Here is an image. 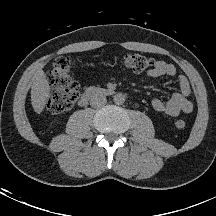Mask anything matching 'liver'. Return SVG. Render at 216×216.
<instances>
[{
    "label": "liver",
    "mask_w": 216,
    "mask_h": 216,
    "mask_svg": "<svg viewBox=\"0 0 216 216\" xmlns=\"http://www.w3.org/2000/svg\"><path fill=\"white\" fill-rule=\"evenodd\" d=\"M49 92L50 89L45 73L40 69L34 74L31 87V103L37 114H40L44 110Z\"/></svg>",
    "instance_id": "liver-1"
}]
</instances>
